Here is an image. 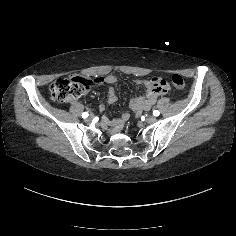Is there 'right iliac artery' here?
<instances>
[{"label":"right iliac artery","mask_w":236,"mask_h":236,"mask_svg":"<svg viewBox=\"0 0 236 236\" xmlns=\"http://www.w3.org/2000/svg\"><path fill=\"white\" fill-rule=\"evenodd\" d=\"M88 113L87 112H84V113H82V118H87L88 117Z\"/></svg>","instance_id":"1"}]
</instances>
